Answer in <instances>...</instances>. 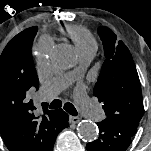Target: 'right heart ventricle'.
<instances>
[{
	"label": "right heart ventricle",
	"mask_w": 151,
	"mask_h": 151,
	"mask_svg": "<svg viewBox=\"0 0 151 151\" xmlns=\"http://www.w3.org/2000/svg\"><path fill=\"white\" fill-rule=\"evenodd\" d=\"M63 33L72 40L80 55L96 51L97 42L86 28L78 25H68L63 29Z\"/></svg>",
	"instance_id": "obj_1"
}]
</instances>
